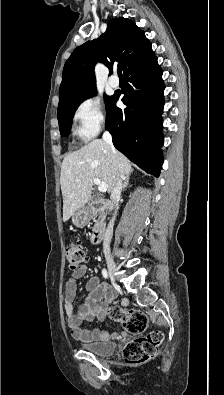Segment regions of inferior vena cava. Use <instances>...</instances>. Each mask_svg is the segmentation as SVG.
<instances>
[{
  "mask_svg": "<svg viewBox=\"0 0 224 395\" xmlns=\"http://www.w3.org/2000/svg\"><path fill=\"white\" fill-rule=\"evenodd\" d=\"M103 141L106 142L108 145H110V147L114 150V146L112 143V136L108 131H105L103 133ZM122 174L120 172L117 173V177L115 179V186L113 188V190L111 191V201L112 204L115 207V213L114 216L111 218L110 222L108 223L107 229L105 231V235H104V240H103V249L104 252L107 254L110 251V242L112 239V235H113V225H114V221H115V216H116V212L119 208V199L121 196V191H122Z\"/></svg>",
  "mask_w": 224,
  "mask_h": 395,
  "instance_id": "obj_1",
  "label": "inferior vena cava"
}]
</instances>
